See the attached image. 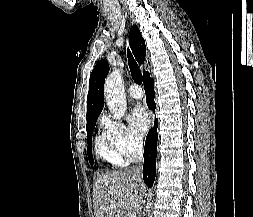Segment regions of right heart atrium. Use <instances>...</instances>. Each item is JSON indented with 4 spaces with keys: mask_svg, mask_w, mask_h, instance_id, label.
Returning a JSON list of instances; mask_svg holds the SVG:
<instances>
[{
    "mask_svg": "<svg viewBox=\"0 0 253 217\" xmlns=\"http://www.w3.org/2000/svg\"><path fill=\"white\" fill-rule=\"evenodd\" d=\"M101 125L104 132L126 160L133 159L141 151L143 146L142 137L124 122L104 115L101 118Z\"/></svg>",
    "mask_w": 253,
    "mask_h": 217,
    "instance_id": "1",
    "label": "right heart atrium"
}]
</instances>
